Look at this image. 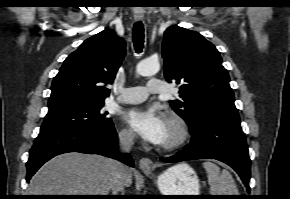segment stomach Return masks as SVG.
Returning <instances> with one entry per match:
<instances>
[{
	"label": "stomach",
	"instance_id": "stomach-1",
	"mask_svg": "<svg viewBox=\"0 0 290 199\" xmlns=\"http://www.w3.org/2000/svg\"><path fill=\"white\" fill-rule=\"evenodd\" d=\"M148 175H150L148 173ZM163 195H199V179L195 171L185 163L169 168L157 179ZM185 197V196H176Z\"/></svg>",
	"mask_w": 290,
	"mask_h": 199
}]
</instances>
